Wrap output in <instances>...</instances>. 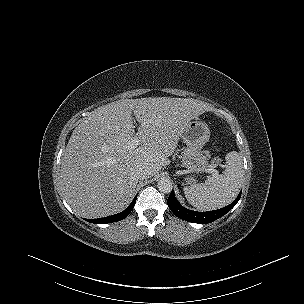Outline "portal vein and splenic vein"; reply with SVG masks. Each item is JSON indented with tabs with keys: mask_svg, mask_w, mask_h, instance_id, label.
<instances>
[{
	"mask_svg": "<svg viewBox=\"0 0 304 304\" xmlns=\"http://www.w3.org/2000/svg\"><path fill=\"white\" fill-rule=\"evenodd\" d=\"M131 146L136 147L140 144V139L137 136H134V138L130 142ZM211 173L213 176L218 174V171L215 169H210Z\"/></svg>",
	"mask_w": 304,
	"mask_h": 304,
	"instance_id": "portal-vein-and-splenic-vein-1",
	"label": "portal vein and splenic vein"
}]
</instances>
